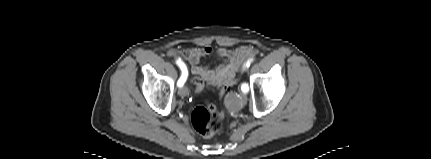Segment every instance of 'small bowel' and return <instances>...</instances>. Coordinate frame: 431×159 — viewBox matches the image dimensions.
<instances>
[{"label": "small bowel", "mask_w": 431, "mask_h": 159, "mask_svg": "<svg viewBox=\"0 0 431 159\" xmlns=\"http://www.w3.org/2000/svg\"><path fill=\"white\" fill-rule=\"evenodd\" d=\"M212 53L213 49L210 46L180 50L171 49L168 51L169 56H175L177 60L180 59L183 63L186 61L190 65L193 77H201L203 79V88L206 84L213 88H220L226 82L235 78L236 73L245 61L255 54V49L251 46H240L235 49L222 47L216 51V54L219 58L225 60L223 64L215 69L200 66L199 62L201 58Z\"/></svg>", "instance_id": "obj_1"}]
</instances>
